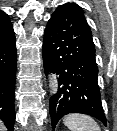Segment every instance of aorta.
<instances>
[{"instance_id": "762f6f07", "label": "aorta", "mask_w": 117, "mask_h": 131, "mask_svg": "<svg viewBox=\"0 0 117 131\" xmlns=\"http://www.w3.org/2000/svg\"><path fill=\"white\" fill-rule=\"evenodd\" d=\"M51 84H52V86H53V93L55 92V87H56V80H55V78H52L51 79Z\"/></svg>"}]
</instances>
